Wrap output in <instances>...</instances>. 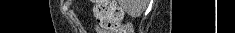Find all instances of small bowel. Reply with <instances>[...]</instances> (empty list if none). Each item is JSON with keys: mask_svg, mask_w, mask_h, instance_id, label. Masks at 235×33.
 Returning <instances> with one entry per match:
<instances>
[{"mask_svg": "<svg viewBox=\"0 0 235 33\" xmlns=\"http://www.w3.org/2000/svg\"><path fill=\"white\" fill-rule=\"evenodd\" d=\"M97 32H98V33H110V32L103 31V30H101L100 28L97 29Z\"/></svg>", "mask_w": 235, "mask_h": 33, "instance_id": "small-bowel-1", "label": "small bowel"}]
</instances>
